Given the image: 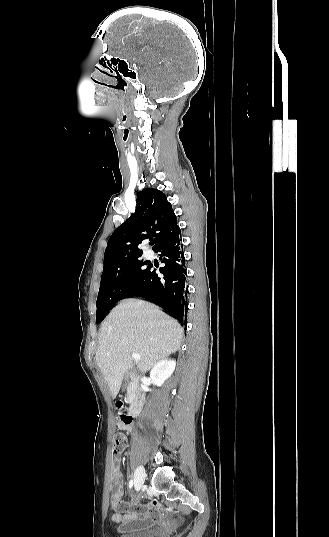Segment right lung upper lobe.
I'll return each instance as SVG.
<instances>
[{"mask_svg": "<svg viewBox=\"0 0 329 537\" xmlns=\"http://www.w3.org/2000/svg\"><path fill=\"white\" fill-rule=\"evenodd\" d=\"M176 216L165 194L143 189L137 196L136 211L111 235L104 254V267L123 264L142 255L138 245L154 238L153 250L179 230Z\"/></svg>", "mask_w": 329, "mask_h": 537, "instance_id": "1", "label": "right lung upper lobe"}]
</instances>
